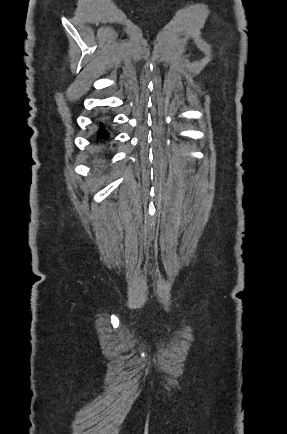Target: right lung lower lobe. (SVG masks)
Instances as JSON below:
<instances>
[{
    "label": "right lung lower lobe",
    "mask_w": 287,
    "mask_h": 434,
    "mask_svg": "<svg viewBox=\"0 0 287 434\" xmlns=\"http://www.w3.org/2000/svg\"><path fill=\"white\" fill-rule=\"evenodd\" d=\"M97 138L101 140H108L109 139V133L104 128V125L102 122L99 123V130L97 132Z\"/></svg>",
    "instance_id": "98d812e1"
}]
</instances>
